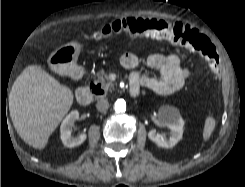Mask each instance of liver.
I'll return each instance as SVG.
<instances>
[{
    "instance_id": "1",
    "label": "liver",
    "mask_w": 245,
    "mask_h": 187,
    "mask_svg": "<svg viewBox=\"0 0 245 187\" xmlns=\"http://www.w3.org/2000/svg\"><path fill=\"white\" fill-rule=\"evenodd\" d=\"M73 100V92L41 66H28L17 77L9 93L13 126L25 143L44 149Z\"/></svg>"
}]
</instances>
